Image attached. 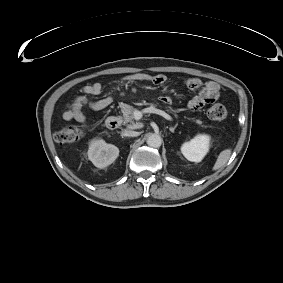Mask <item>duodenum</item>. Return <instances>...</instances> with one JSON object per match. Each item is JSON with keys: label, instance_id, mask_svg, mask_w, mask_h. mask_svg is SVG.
Here are the masks:
<instances>
[{"label": "duodenum", "instance_id": "duodenum-1", "mask_svg": "<svg viewBox=\"0 0 283 283\" xmlns=\"http://www.w3.org/2000/svg\"><path fill=\"white\" fill-rule=\"evenodd\" d=\"M121 124V120L117 116H110L106 119L105 125L108 129L114 130L117 129Z\"/></svg>", "mask_w": 283, "mask_h": 283}]
</instances>
